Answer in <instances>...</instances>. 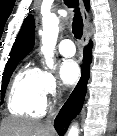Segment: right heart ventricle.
Listing matches in <instances>:
<instances>
[{"label": "right heart ventricle", "mask_w": 117, "mask_h": 136, "mask_svg": "<svg viewBox=\"0 0 117 136\" xmlns=\"http://www.w3.org/2000/svg\"><path fill=\"white\" fill-rule=\"evenodd\" d=\"M8 109L15 115L40 118L45 103L39 93L38 70L24 67L15 75L8 96Z\"/></svg>", "instance_id": "e07e8e85"}]
</instances>
